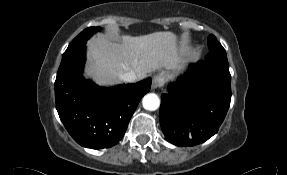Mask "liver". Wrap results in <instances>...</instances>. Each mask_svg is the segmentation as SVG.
<instances>
[{
  "mask_svg": "<svg viewBox=\"0 0 287 175\" xmlns=\"http://www.w3.org/2000/svg\"><path fill=\"white\" fill-rule=\"evenodd\" d=\"M121 42L98 35L88 42L86 73L99 85L120 82L121 76L134 72L138 80L160 68L170 69L179 61L177 36L170 31L142 36L120 37Z\"/></svg>",
  "mask_w": 287,
  "mask_h": 175,
  "instance_id": "6515ba94",
  "label": "liver"
}]
</instances>
